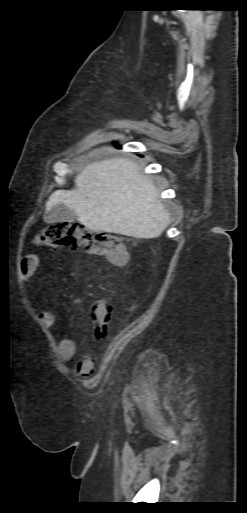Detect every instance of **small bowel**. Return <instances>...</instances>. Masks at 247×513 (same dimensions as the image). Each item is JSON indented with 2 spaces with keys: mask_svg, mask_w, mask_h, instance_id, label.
<instances>
[{
  "mask_svg": "<svg viewBox=\"0 0 247 513\" xmlns=\"http://www.w3.org/2000/svg\"><path fill=\"white\" fill-rule=\"evenodd\" d=\"M39 264L38 256L25 257L21 261L20 276L23 281H28L36 272ZM81 305V302L78 303ZM89 315L92 314L89 309ZM39 319L46 329H51L56 323V316L50 310H43L39 313ZM77 351L76 342L72 338H63L59 341L56 348L57 359L60 362H67L74 357ZM92 360H80L76 366V372L79 376H87L92 372Z\"/></svg>",
  "mask_w": 247,
  "mask_h": 513,
  "instance_id": "obj_1",
  "label": "small bowel"
}]
</instances>
